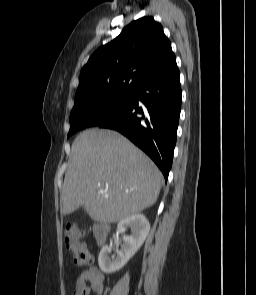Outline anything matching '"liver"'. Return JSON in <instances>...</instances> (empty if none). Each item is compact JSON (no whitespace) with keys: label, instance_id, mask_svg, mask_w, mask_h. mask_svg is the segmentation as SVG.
Masks as SVG:
<instances>
[{"label":"liver","instance_id":"1","mask_svg":"<svg viewBox=\"0 0 256 295\" xmlns=\"http://www.w3.org/2000/svg\"><path fill=\"white\" fill-rule=\"evenodd\" d=\"M162 185L158 167L127 138L89 129L72 144L61 214L82 206L94 221L117 222L154 205Z\"/></svg>","mask_w":256,"mask_h":295}]
</instances>
